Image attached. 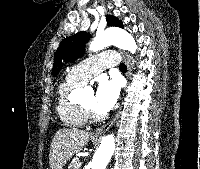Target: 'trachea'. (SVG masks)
Returning <instances> with one entry per match:
<instances>
[{"instance_id":"1","label":"trachea","mask_w":200,"mask_h":169,"mask_svg":"<svg viewBox=\"0 0 200 169\" xmlns=\"http://www.w3.org/2000/svg\"><path fill=\"white\" fill-rule=\"evenodd\" d=\"M119 70L126 72V71H127L126 65H125L124 63H121V64L119 65Z\"/></svg>"}]
</instances>
